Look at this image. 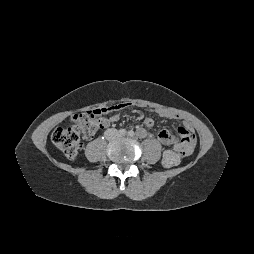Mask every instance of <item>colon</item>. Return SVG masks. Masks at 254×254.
Segmentation results:
<instances>
[{
  "label": "colon",
  "mask_w": 254,
  "mask_h": 254,
  "mask_svg": "<svg viewBox=\"0 0 254 254\" xmlns=\"http://www.w3.org/2000/svg\"><path fill=\"white\" fill-rule=\"evenodd\" d=\"M106 109L92 110L75 115L66 127H58L52 134L53 144L60 149L69 160H75L83 146V139L91 138L99 126L98 115ZM181 160L179 154L170 152L164 163L170 167Z\"/></svg>",
  "instance_id": "5ec220e1"
}]
</instances>
